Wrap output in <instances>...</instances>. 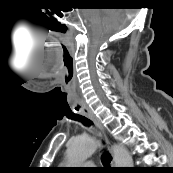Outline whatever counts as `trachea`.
I'll use <instances>...</instances> for the list:
<instances>
[{
	"label": "trachea",
	"mask_w": 173,
	"mask_h": 173,
	"mask_svg": "<svg viewBox=\"0 0 173 173\" xmlns=\"http://www.w3.org/2000/svg\"><path fill=\"white\" fill-rule=\"evenodd\" d=\"M70 118L72 120L81 122L85 126H91L93 124L90 119L80 114L71 116ZM111 160H112V157L108 152H104L102 154L101 161L104 167L109 168Z\"/></svg>",
	"instance_id": "3493384b"
}]
</instances>
